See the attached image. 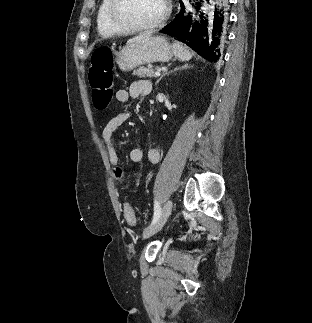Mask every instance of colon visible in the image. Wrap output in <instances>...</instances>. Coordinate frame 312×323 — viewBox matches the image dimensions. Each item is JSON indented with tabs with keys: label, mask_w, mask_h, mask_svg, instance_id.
<instances>
[{
	"label": "colon",
	"mask_w": 312,
	"mask_h": 323,
	"mask_svg": "<svg viewBox=\"0 0 312 323\" xmlns=\"http://www.w3.org/2000/svg\"><path fill=\"white\" fill-rule=\"evenodd\" d=\"M113 52L109 47L97 48L91 56L89 70V82L92 87V103L95 108L103 109L107 107L112 98L113 79ZM115 172L121 171L120 165L114 166ZM122 180V177H119ZM127 221L131 226L136 225V217L130 205L125 207L124 212Z\"/></svg>",
	"instance_id": "5ec220e1"
}]
</instances>
